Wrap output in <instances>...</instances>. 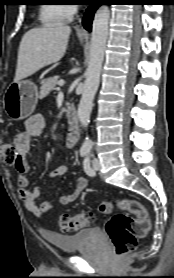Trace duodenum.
<instances>
[{
	"label": "duodenum",
	"mask_w": 174,
	"mask_h": 278,
	"mask_svg": "<svg viewBox=\"0 0 174 278\" xmlns=\"http://www.w3.org/2000/svg\"><path fill=\"white\" fill-rule=\"evenodd\" d=\"M66 119L68 122L67 140L73 143L79 136V120L78 115L73 106H67L65 110Z\"/></svg>",
	"instance_id": "410a0bca"
}]
</instances>
